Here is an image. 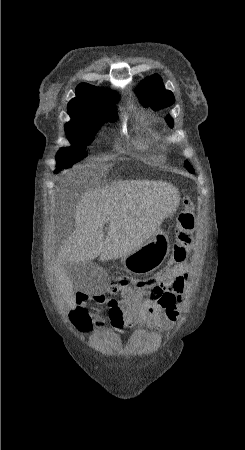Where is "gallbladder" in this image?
Returning a JSON list of instances; mask_svg holds the SVG:
<instances>
[{
	"label": "gallbladder",
	"instance_id": "1",
	"mask_svg": "<svg viewBox=\"0 0 245 450\" xmlns=\"http://www.w3.org/2000/svg\"><path fill=\"white\" fill-rule=\"evenodd\" d=\"M86 267L87 264L85 262L79 264H72L67 268L68 274L71 278L77 279L78 276L84 273Z\"/></svg>",
	"mask_w": 245,
	"mask_h": 450
}]
</instances>
